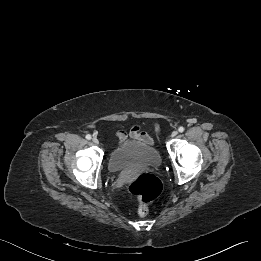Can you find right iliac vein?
I'll use <instances>...</instances> for the list:
<instances>
[{"mask_svg": "<svg viewBox=\"0 0 261 261\" xmlns=\"http://www.w3.org/2000/svg\"><path fill=\"white\" fill-rule=\"evenodd\" d=\"M92 141H93V143H95V144H98V143H99V140H98V138H96V137H93V138H92Z\"/></svg>", "mask_w": 261, "mask_h": 261, "instance_id": "1", "label": "right iliac vein"}]
</instances>
